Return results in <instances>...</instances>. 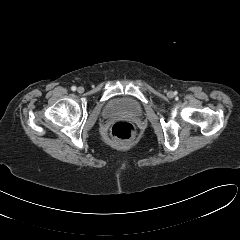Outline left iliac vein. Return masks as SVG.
Here are the masks:
<instances>
[{
    "instance_id": "left-iliac-vein-1",
    "label": "left iliac vein",
    "mask_w": 240,
    "mask_h": 240,
    "mask_svg": "<svg viewBox=\"0 0 240 240\" xmlns=\"http://www.w3.org/2000/svg\"><path fill=\"white\" fill-rule=\"evenodd\" d=\"M168 96L169 97H172L173 96V93L170 91V92H168Z\"/></svg>"
}]
</instances>
